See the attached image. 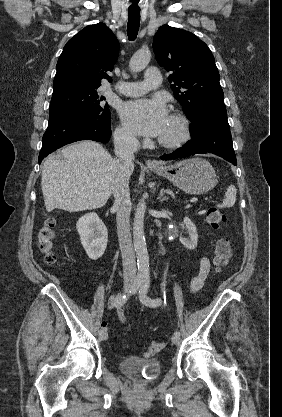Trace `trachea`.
<instances>
[{"instance_id": "1", "label": "trachea", "mask_w": 282, "mask_h": 417, "mask_svg": "<svg viewBox=\"0 0 282 417\" xmlns=\"http://www.w3.org/2000/svg\"><path fill=\"white\" fill-rule=\"evenodd\" d=\"M140 27V10L128 11L127 35L129 40H135Z\"/></svg>"}]
</instances>
